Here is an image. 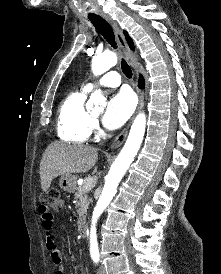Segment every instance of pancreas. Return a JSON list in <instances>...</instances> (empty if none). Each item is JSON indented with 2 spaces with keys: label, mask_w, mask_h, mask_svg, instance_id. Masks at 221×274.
Wrapping results in <instances>:
<instances>
[{
  "label": "pancreas",
  "mask_w": 221,
  "mask_h": 274,
  "mask_svg": "<svg viewBox=\"0 0 221 274\" xmlns=\"http://www.w3.org/2000/svg\"><path fill=\"white\" fill-rule=\"evenodd\" d=\"M86 180V179H85ZM85 180L83 185L77 187V191L74 194V198L77 199L76 208L78 213V225L81 227L85 222V215L91 199L88 198V192L90 189L85 188Z\"/></svg>",
  "instance_id": "1"
}]
</instances>
